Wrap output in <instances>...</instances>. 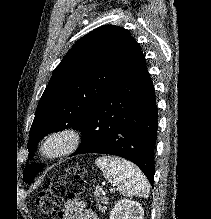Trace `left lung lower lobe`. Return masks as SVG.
I'll list each match as a JSON object with an SVG mask.
<instances>
[{
  "label": "left lung lower lobe",
  "instance_id": "1",
  "mask_svg": "<svg viewBox=\"0 0 211 219\" xmlns=\"http://www.w3.org/2000/svg\"><path fill=\"white\" fill-rule=\"evenodd\" d=\"M158 111L143 53L106 91L78 129L82 142L72 154L123 157L141 168L153 186Z\"/></svg>",
  "mask_w": 211,
  "mask_h": 219
}]
</instances>
